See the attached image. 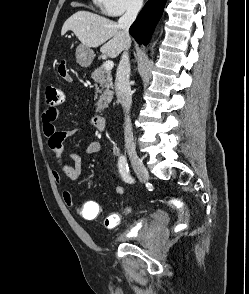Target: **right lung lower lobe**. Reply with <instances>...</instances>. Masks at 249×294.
<instances>
[{
	"label": "right lung lower lobe",
	"instance_id": "right-lung-lower-lobe-1",
	"mask_svg": "<svg viewBox=\"0 0 249 294\" xmlns=\"http://www.w3.org/2000/svg\"><path fill=\"white\" fill-rule=\"evenodd\" d=\"M167 0H149L130 27V34L139 44H146L159 21Z\"/></svg>",
	"mask_w": 249,
	"mask_h": 294
}]
</instances>
